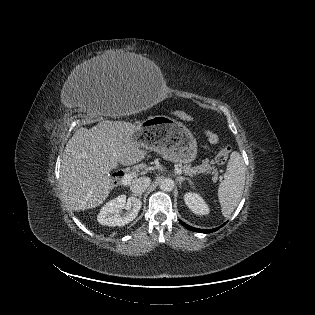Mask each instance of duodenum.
Here are the masks:
<instances>
[{"mask_svg": "<svg viewBox=\"0 0 315 315\" xmlns=\"http://www.w3.org/2000/svg\"><path fill=\"white\" fill-rule=\"evenodd\" d=\"M123 177H124V172L121 171V170H117V171H115V172L113 173V178H114L115 180H120V179H122Z\"/></svg>", "mask_w": 315, "mask_h": 315, "instance_id": "duodenum-1", "label": "duodenum"}]
</instances>
